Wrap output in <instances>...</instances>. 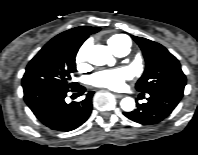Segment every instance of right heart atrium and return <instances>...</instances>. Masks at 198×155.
<instances>
[{
  "label": "right heart atrium",
  "instance_id": "obj_1",
  "mask_svg": "<svg viewBox=\"0 0 198 155\" xmlns=\"http://www.w3.org/2000/svg\"><path fill=\"white\" fill-rule=\"evenodd\" d=\"M87 54H88V44H84L80 47L78 50L75 61L79 68H82L85 66L87 61Z\"/></svg>",
  "mask_w": 198,
  "mask_h": 155
}]
</instances>
